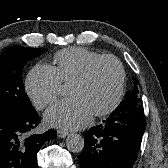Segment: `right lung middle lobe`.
I'll return each instance as SVG.
<instances>
[{
	"label": "right lung middle lobe",
	"instance_id": "dd1d6c3e",
	"mask_svg": "<svg viewBox=\"0 0 168 168\" xmlns=\"http://www.w3.org/2000/svg\"><path fill=\"white\" fill-rule=\"evenodd\" d=\"M46 49L12 46L0 54V108L31 112L34 110L24 90V65Z\"/></svg>",
	"mask_w": 168,
	"mask_h": 168
}]
</instances>
